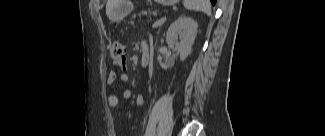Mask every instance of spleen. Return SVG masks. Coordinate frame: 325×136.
<instances>
[{
  "instance_id": "1",
  "label": "spleen",
  "mask_w": 325,
  "mask_h": 136,
  "mask_svg": "<svg viewBox=\"0 0 325 136\" xmlns=\"http://www.w3.org/2000/svg\"><path fill=\"white\" fill-rule=\"evenodd\" d=\"M183 5L188 10L201 11L211 14V5L208 0H184Z\"/></svg>"
}]
</instances>
